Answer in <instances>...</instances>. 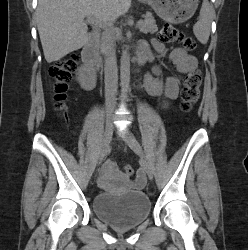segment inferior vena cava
I'll use <instances>...</instances> for the list:
<instances>
[{
    "label": "inferior vena cava",
    "mask_w": 248,
    "mask_h": 250,
    "mask_svg": "<svg viewBox=\"0 0 248 250\" xmlns=\"http://www.w3.org/2000/svg\"><path fill=\"white\" fill-rule=\"evenodd\" d=\"M104 73L106 116L107 119H110L113 116L116 107V93L118 84L116 53L112 43H109L106 47Z\"/></svg>",
    "instance_id": "1"
}]
</instances>
